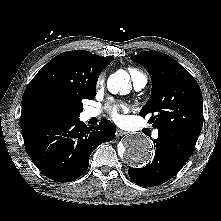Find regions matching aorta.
Instances as JSON below:
<instances>
[{
  "instance_id": "aorta-1",
  "label": "aorta",
  "mask_w": 221,
  "mask_h": 221,
  "mask_svg": "<svg viewBox=\"0 0 221 221\" xmlns=\"http://www.w3.org/2000/svg\"><path fill=\"white\" fill-rule=\"evenodd\" d=\"M129 81V74L124 70H118L109 76L107 88L112 94L124 95L131 90ZM119 155L130 165L142 166L152 158V145L147 137L141 134H131L120 144Z\"/></svg>"
}]
</instances>
